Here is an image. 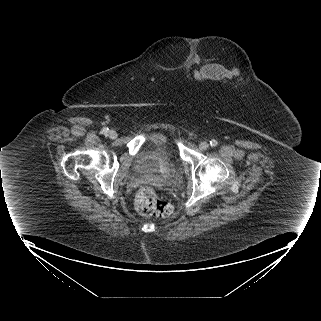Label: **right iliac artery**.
<instances>
[{
    "label": "right iliac artery",
    "mask_w": 321,
    "mask_h": 321,
    "mask_svg": "<svg viewBox=\"0 0 321 321\" xmlns=\"http://www.w3.org/2000/svg\"><path fill=\"white\" fill-rule=\"evenodd\" d=\"M108 131H109V129H108L107 127H104V128L102 129V132H103L104 134H107Z\"/></svg>",
    "instance_id": "obj_1"
}]
</instances>
